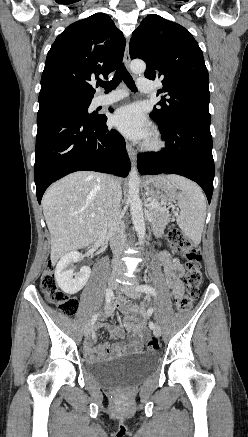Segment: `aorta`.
<instances>
[{"instance_id": "aorta-1", "label": "aorta", "mask_w": 248, "mask_h": 437, "mask_svg": "<svg viewBox=\"0 0 248 437\" xmlns=\"http://www.w3.org/2000/svg\"><path fill=\"white\" fill-rule=\"evenodd\" d=\"M130 69L135 74L145 72L146 64L141 60H134L130 64ZM129 203L132 223L139 237L140 244H144L146 227L144 220V213L142 208V201L139 196L140 178L136 166H132L129 173Z\"/></svg>"}]
</instances>
